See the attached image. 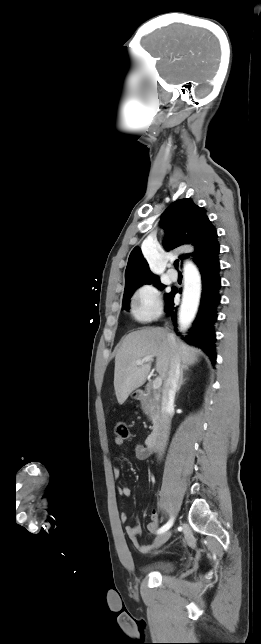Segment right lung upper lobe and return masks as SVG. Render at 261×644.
Segmentation results:
<instances>
[{
    "label": "right lung upper lobe",
    "mask_w": 261,
    "mask_h": 644,
    "mask_svg": "<svg viewBox=\"0 0 261 644\" xmlns=\"http://www.w3.org/2000/svg\"><path fill=\"white\" fill-rule=\"evenodd\" d=\"M161 226L166 230L163 241L166 250L186 244L193 245L195 251L191 255L197 265L218 257L216 229L206 216V211L191 199H180L172 203L162 214ZM156 280L159 279L150 271L141 250L135 247L130 253L125 271V289L136 283Z\"/></svg>",
    "instance_id": "obj_1"
}]
</instances>
